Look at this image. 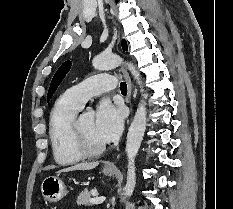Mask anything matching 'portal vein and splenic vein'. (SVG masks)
I'll list each match as a JSON object with an SVG mask.
<instances>
[{
	"label": "portal vein and splenic vein",
	"instance_id": "18ae733b",
	"mask_svg": "<svg viewBox=\"0 0 233 209\" xmlns=\"http://www.w3.org/2000/svg\"><path fill=\"white\" fill-rule=\"evenodd\" d=\"M105 197H95V198H91L90 199V203L91 204H95V205H98V204H102L104 201H105Z\"/></svg>",
	"mask_w": 233,
	"mask_h": 209
}]
</instances>
